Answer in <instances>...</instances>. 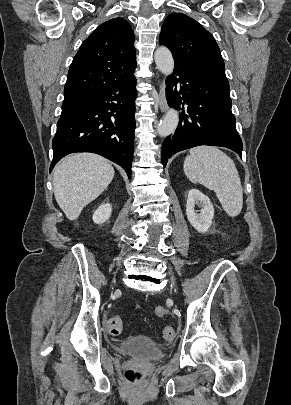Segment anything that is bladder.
<instances>
[{
	"instance_id": "bladder-1",
	"label": "bladder",
	"mask_w": 291,
	"mask_h": 405,
	"mask_svg": "<svg viewBox=\"0 0 291 405\" xmlns=\"http://www.w3.org/2000/svg\"><path fill=\"white\" fill-rule=\"evenodd\" d=\"M117 351L123 355L156 360L165 354V349L153 339L144 335L130 336L117 344Z\"/></svg>"
}]
</instances>
